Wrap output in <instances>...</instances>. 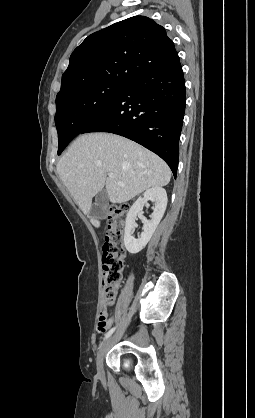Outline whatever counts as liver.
Returning a JSON list of instances; mask_svg holds the SVG:
<instances>
[{"label": "liver", "mask_w": 255, "mask_h": 418, "mask_svg": "<svg viewBox=\"0 0 255 418\" xmlns=\"http://www.w3.org/2000/svg\"><path fill=\"white\" fill-rule=\"evenodd\" d=\"M57 173L84 214L104 187L110 202L124 203L147 189L166 186L171 179L170 168L160 157L111 133L78 137L59 160ZM109 173L114 177H107ZM93 223L100 226L97 220Z\"/></svg>", "instance_id": "6515ba94"}]
</instances>
